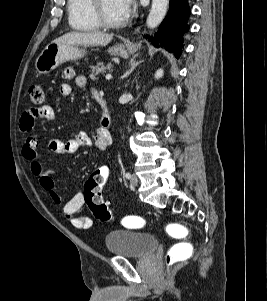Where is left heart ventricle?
Returning a JSON list of instances; mask_svg holds the SVG:
<instances>
[{"instance_id": "b2bd125f", "label": "left heart ventricle", "mask_w": 267, "mask_h": 301, "mask_svg": "<svg viewBox=\"0 0 267 301\" xmlns=\"http://www.w3.org/2000/svg\"><path fill=\"white\" fill-rule=\"evenodd\" d=\"M102 10L104 16L112 22L120 21L125 17L118 9L115 0H102Z\"/></svg>"}]
</instances>
